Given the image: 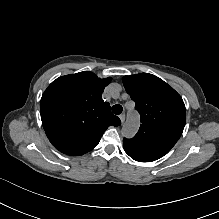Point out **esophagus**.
I'll use <instances>...</instances> for the list:
<instances>
[{
  "label": "esophagus",
  "mask_w": 219,
  "mask_h": 219,
  "mask_svg": "<svg viewBox=\"0 0 219 219\" xmlns=\"http://www.w3.org/2000/svg\"><path fill=\"white\" fill-rule=\"evenodd\" d=\"M119 118H120V120H121V123L123 124L124 121H125V113H121V114L119 115Z\"/></svg>",
  "instance_id": "obj_1"
}]
</instances>
